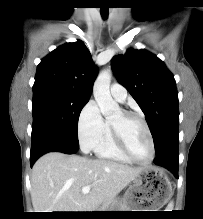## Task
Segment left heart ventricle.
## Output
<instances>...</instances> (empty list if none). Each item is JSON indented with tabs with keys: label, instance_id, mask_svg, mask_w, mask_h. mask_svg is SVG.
Here are the masks:
<instances>
[{
	"label": "left heart ventricle",
	"instance_id": "left-heart-ventricle-1",
	"mask_svg": "<svg viewBox=\"0 0 203 219\" xmlns=\"http://www.w3.org/2000/svg\"><path fill=\"white\" fill-rule=\"evenodd\" d=\"M111 121L121 127L132 155L141 161L148 160L151 156V146L142 122L133 117L123 118L121 111L117 112Z\"/></svg>",
	"mask_w": 203,
	"mask_h": 219
}]
</instances>
